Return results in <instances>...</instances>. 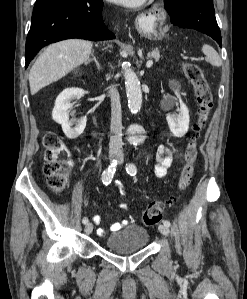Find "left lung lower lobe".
Returning a JSON list of instances; mask_svg holds the SVG:
<instances>
[{"instance_id":"1","label":"left lung lower lobe","mask_w":247,"mask_h":299,"mask_svg":"<svg viewBox=\"0 0 247 299\" xmlns=\"http://www.w3.org/2000/svg\"><path fill=\"white\" fill-rule=\"evenodd\" d=\"M165 9L173 25L198 30L209 35L220 47L222 46L212 1L177 0L173 5H165Z\"/></svg>"}]
</instances>
